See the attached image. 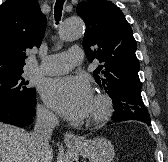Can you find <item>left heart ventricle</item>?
Wrapping results in <instances>:
<instances>
[{"instance_id":"obj_1","label":"left heart ventricle","mask_w":168,"mask_h":162,"mask_svg":"<svg viewBox=\"0 0 168 162\" xmlns=\"http://www.w3.org/2000/svg\"><path fill=\"white\" fill-rule=\"evenodd\" d=\"M96 110H97V104H96V102H95L94 99H93L89 116L93 115V114L96 112Z\"/></svg>"}]
</instances>
